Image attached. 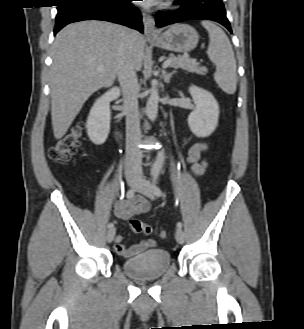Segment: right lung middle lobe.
<instances>
[{
	"instance_id": "1",
	"label": "right lung middle lobe",
	"mask_w": 304,
	"mask_h": 329,
	"mask_svg": "<svg viewBox=\"0 0 304 329\" xmlns=\"http://www.w3.org/2000/svg\"><path fill=\"white\" fill-rule=\"evenodd\" d=\"M61 2L60 3H62V2H67V1H70V0H60Z\"/></svg>"
}]
</instances>
